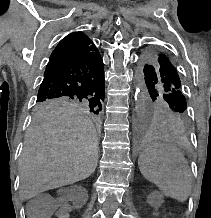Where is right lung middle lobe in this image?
I'll use <instances>...</instances> for the list:
<instances>
[{"mask_svg": "<svg viewBox=\"0 0 211 218\" xmlns=\"http://www.w3.org/2000/svg\"><path fill=\"white\" fill-rule=\"evenodd\" d=\"M81 105L86 107L91 113L99 114L102 105L99 100H93L90 98H70V97H46L37 98V108L38 109H49L58 106L65 105Z\"/></svg>", "mask_w": 211, "mask_h": 218, "instance_id": "right-lung-middle-lobe-1", "label": "right lung middle lobe"}]
</instances>
